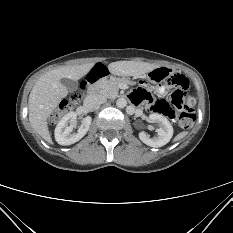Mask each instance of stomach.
Returning a JSON list of instances; mask_svg holds the SVG:
<instances>
[{
	"label": "stomach",
	"instance_id": "1",
	"mask_svg": "<svg viewBox=\"0 0 233 233\" xmlns=\"http://www.w3.org/2000/svg\"><path fill=\"white\" fill-rule=\"evenodd\" d=\"M171 75V69L168 67H157L148 72L147 78L150 82L156 83Z\"/></svg>",
	"mask_w": 233,
	"mask_h": 233
}]
</instances>
